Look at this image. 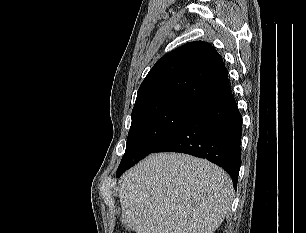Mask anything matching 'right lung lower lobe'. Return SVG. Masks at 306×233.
Here are the masks:
<instances>
[{
    "instance_id": "right-lung-lower-lobe-1",
    "label": "right lung lower lobe",
    "mask_w": 306,
    "mask_h": 233,
    "mask_svg": "<svg viewBox=\"0 0 306 233\" xmlns=\"http://www.w3.org/2000/svg\"><path fill=\"white\" fill-rule=\"evenodd\" d=\"M242 117L232 92L195 112L154 152H180L205 158L222 167L237 188L241 166Z\"/></svg>"
}]
</instances>
